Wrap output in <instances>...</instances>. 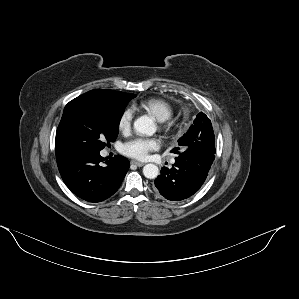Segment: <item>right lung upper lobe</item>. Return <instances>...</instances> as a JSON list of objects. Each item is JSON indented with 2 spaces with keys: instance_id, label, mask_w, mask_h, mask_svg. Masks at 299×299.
Segmentation results:
<instances>
[{
  "instance_id": "obj_1",
  "label": "right lung upper lobe",
  "mask_w": 299,
  "mask_h": 299,
  "mask_svg": "<svg viewBox=\"0 0 299 299\" xmlns=\"http://www.w3.org/2000/svg\"><path fill=\"white\" fill-rule=\"evenodd\" d=\"M120 93H122V92L113 91V90H105V89H95V90H91V91L73 99L69 103H72L77 100H82V99H111V98L119 95ZM55 152H56V156H57V161H60L64 158L72 155L71 153L67 152L64 149L57 134H56Z\"/></svg>"
}]
</instances>
